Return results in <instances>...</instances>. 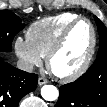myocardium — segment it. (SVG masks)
Wrapping results in <instances>:
<instances>
[{
	"label": "myocardium",
	"mask_w": 107,
	"mask_h": 107,
	"mask_svg": "<svg viewBox=\"0 0 107 107\" xmlns=\"http://www.w3.org/2000/svg\"><path fill=\"white\" fill-rule=\"evenodd\" d=\"M81 22L87 23L90 27V30H91V44H90L88 53H87L84 61L82 62V64L76 70H74L73 72H71L69 74H65V75L58 74L52 68V61L55 58V56L64 47L71 31L74 29V27L76 25H78ZM96 43H97L96 30H95V27L93 26V24L91 23V21L89 19L83 18V17H79V18L75 19L74 21L69 23L64 28L61 35L57 39V41L55 42V44L52 46V48L48 52V54L46 56L47 69L50 71V73L52 75H54L58 80H60L62 82H71V81L76 80L81 75H83L86 72V70L89 68L91 61L93 59L94 53H95Z\"/></svg>",
	"instance_id": "f54148a6"
}]
</instances>
